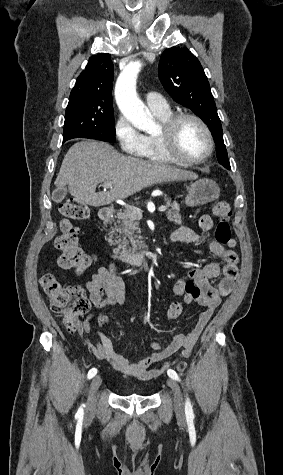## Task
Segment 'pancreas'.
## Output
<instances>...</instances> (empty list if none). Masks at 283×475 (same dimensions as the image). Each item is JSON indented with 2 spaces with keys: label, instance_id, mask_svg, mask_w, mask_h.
<instances>
[{
  "label": "pancreas",
  "instance_id": "pancreas-1",
  "mask_svg": "<svg viewBox=\"0 0 283 475\" xmlns=\"http://www.w3.org/2000/svg\"><path fill=\"white\" fill-rule=\"evenodd\" d=\"M164 202H166L165 206L168 208V212H166V216L170 222H174L177 226H182L180 212V206H178L177 202H171L170 198H165ZM142 218L141 214H137L136 208H126V210H120L119 214H117V220L114 222V232H118L120 236L114 234V236H110L107 238L110 245H117L114 247V253H120V255H124V253H134L139 249V245H142V241H139L140 232H138L139 228L137 220Z\"/></svg>",
  "mask_w": 283,
  "mask_h": 475
}]
</instances>
